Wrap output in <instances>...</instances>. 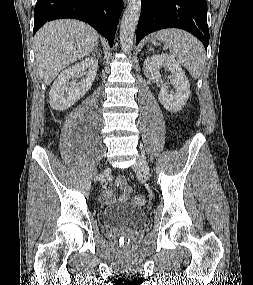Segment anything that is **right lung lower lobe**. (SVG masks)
Instances as JSON below:
<instances>
[{
  "label": "right lung lower lobe",
  "mask_w": 253,
  "mask_h": 285,
  "mask_svg": "<svg viewBox=\"0 0 253 285\" xmlns=\"http://www.w3.org/2000/svg\"><path fill=\"white\" fill-rule=\"evenodd\" d=\"M123 6V0H37L33 35L47 21L73 18L90 24L112 47Z\"/></svg>",
  "instance_id": "1"
}]
</instances>
